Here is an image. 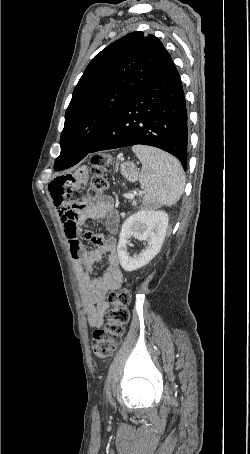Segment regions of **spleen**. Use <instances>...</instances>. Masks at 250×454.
<instances>
[{"label":"spleen","instance_id":"obj_1","mask_svg":"<svg viewBox=\"0 0 250 454\" xmlns=\"http://www.w3.org/2000/svg\"><path fill=\"white\" fill-rule=\"evenodd\" d=\"M132 151L142 163L139 182L145 187L143 203L155 208L172 206L181 197L185 174L180 162L159 149L135 145Z\"/></svg>","mask_w":250,"mask_h":454}]
</instances>
